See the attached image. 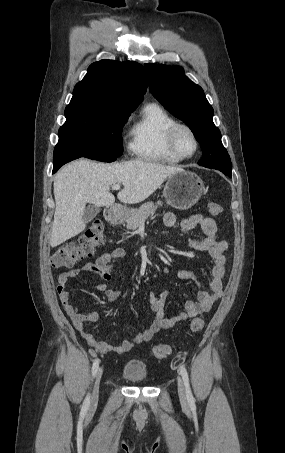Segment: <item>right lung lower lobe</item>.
<instances>
[{
  "mask_svg": "<svg viewBox=\"0 0 285 453\" xmlns=\"http://www.w3.org/2000/svg\"><path fill=\"white\" fill-rule=\"evenodd\" d=\"M76 158L77 155H75L73 151L55 147L53 156L54 162L53 173H55L65 163L72 161Z\"/></svg>",
  "mask_w": 285,
  "mask_h": 453,
  "instance_id": "98d812e1",
  "label": "right lung lower lobe"
}]
</instances>
